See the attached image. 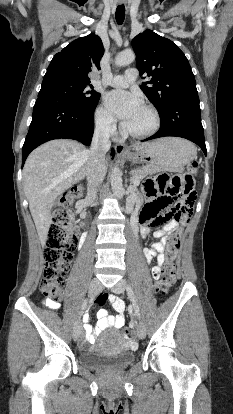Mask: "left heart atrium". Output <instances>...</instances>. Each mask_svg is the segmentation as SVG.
Here are the masks:
<instances>
[{
	"instance_id": "left-heart-atrium-1",
	"label": "left heart atrium",
	"mask_w": 233,
	"mask_h": 414,
	"mask_svg": "<svg viewBox=\"0 0 233 414\" xmlns=\"http://www.w3.org/2000/svg\"><path fill=\"white\" fill-rule=\"evenodd\" d=\"M105 105L107 109L118 119L123 125L127 124L142 108L141 99L125 90H112L105 96Z\"/></svg>"
}]
</instances>
